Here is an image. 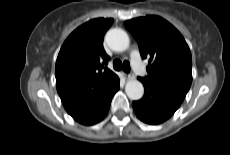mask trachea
Listing matches in <instances>:
<instances>
[{
    "mask_svg": "<svg viewBox=\"0 0 230 155\" xmlns=\"http://www.w3.org/2000/svg\"><path fill=\"white\" fill-rule=\"evenodd\" d=\"M113 67L116 71H120L122 69L126 73L130 72V63L128 61H124L122 63L119 59H115L113 61Z\"/></svg>",
    "mask_w": 230,
    "mask_h": 155,
    "instance_id": "3493384b",
    "label": "trachea"
}]
</instances>
